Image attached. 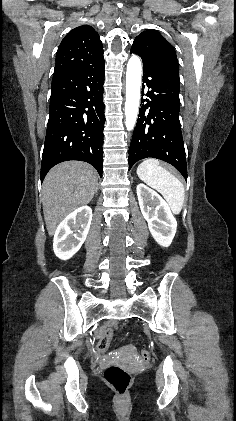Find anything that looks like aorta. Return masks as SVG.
<instances>
[{
    "label": "aorta",
    "mask_w": 236,
    "mask_h": 421,
    "mask_svg": "<svg viewBox=\"0 0 236 421\" xmlns=\"http://www.w3.org/2000/svg\"><path fill=\"white\" fill-rule=\"evenodd\" d=\"M142 84V62L133 54L128 60L126 70V102L125 124L127 130H133L140 104V88Z\"/></svg>",
    "instance_id": "762f6f07"
}]
</instances>
